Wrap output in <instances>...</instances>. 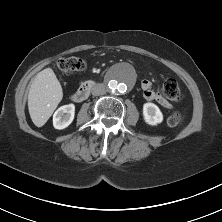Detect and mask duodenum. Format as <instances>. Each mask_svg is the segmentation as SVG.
<instances>
[{"instance_id":"1","label":"duodenum","mask_w":222,"mask_h":222,"mask_svg":"<svg viewBox=\"0 0 222 222\" xmlns=\"http://www.w3.org/2000/svg\"><path fill=\"white\" fill-rule=\"evenodd\" d=\"M94 86L95 81H87L72 94V100L77 103L83 102L85 99H87Z\"/></svg>"}]
</instances>
